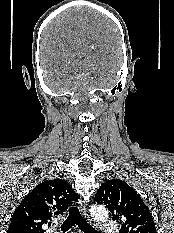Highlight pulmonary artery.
Masks as SVG:
<instances>
[{
  "label": "pulmonary artery",
  "instance_id": "pulmonary-artery-1",
  "mask_svg": "<svg viewBox=\"0 0 174 233\" xmlns=\"http://www.w3.org/2000/svg\"><path fill=\"white\" fill-rule=\"evenodd\" d=\"M101 230L104 233H117V227L113 222H104L101 224Z\"/></svg>",
  "mask_w": 174,
  "mask_h": 233
}]
</instances>
